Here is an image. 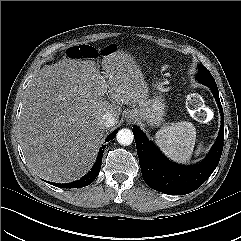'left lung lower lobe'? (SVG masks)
<instances>
[{"mask_svg": "<svg viewBox=\"0 0 241 241\" xmlns=\"http://www.w3.org/2000/svg\"><path fill=\"white\" fill-rule=\"evenodd\" d=\"M208 87L219 106L221 126L219 136L208 157L199 164L181 166L170 162L137 126L133 127L142 176L150 188L171 195L188 194L199 188L217 167L224 143V117L217 85Z\"/></svg>", "mask_w": 241, "mask_h": 241, "instance_id": "left-lung-lower-lobe-1", "label": "left lung lower lobe"}]
</instances>
